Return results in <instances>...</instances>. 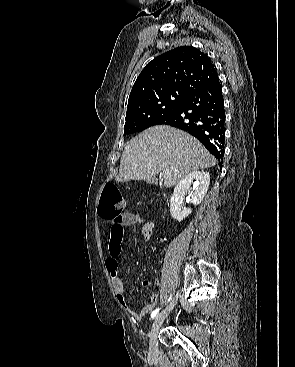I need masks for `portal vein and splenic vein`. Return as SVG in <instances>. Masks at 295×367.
<instances>
[{"label": "portal vein and splenic vein", "mask_w": 295, "mask_h": 367, "mask_svg": "<svg viewBox=\"0 0 295 367\" xmlns=\"http://www.w3.org/2000/svg\"><path fill=\"white\" fill-rule=\"evenodd\" d=\"M169 171L168 170H165V171H163L162 172V175H165V174H167Z\"/></svg>", "instance_id": "obj_1"}]
</instances>
